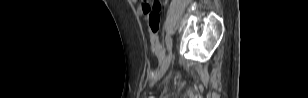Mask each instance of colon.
<instances>
[{
  "instance_id": "1",
  "label": "colon",
  "mask_w": 308,
  "mask_h": 98,
  "mask_svg": "<svg viewBox=\"0 0 308 98\" xmlns=\"http://www.w3.org/2000/svg\"><path fill=\"white\" fill-rule=\"evenodd\" d=\"M161 7V2L155 0L145 2L143 9L140 11V14L145 16V19L148 21L151 49L158 57H161L162 54V45L157 35V31H160L161 28L159 24Z\"/></svg>"
}]
</instances>
